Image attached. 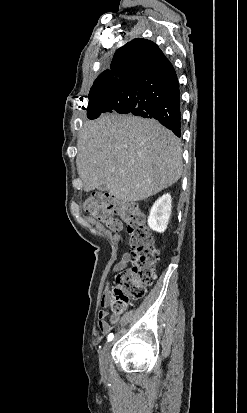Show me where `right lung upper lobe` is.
Listing matches in <instances>:
<instances>
[{
  "label": "right lung upper lobe",
  "mask_w": 247,
  "mask_h": 413,
  "mask_svg": "<svg viewBox=\"0 0 247 413\" xmlns=\"http://www.w3.org/2000/svg\"><path fill=\"white\" fill-rule=\"evenodd\" d=\"M169 64V60L155 43L134 39L116 51L110 69L102 72L96 80L122 82L132 73L157 72Z\"/></svg>",
  "instance_id": "obj_1"
}]
</instances>
